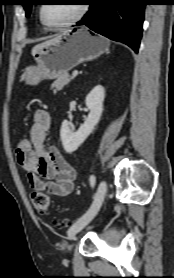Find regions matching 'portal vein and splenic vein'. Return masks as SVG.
<instances>
[{
  "mask_svg": "<svg viewBox=\"0 0 174 278\" xmlns=\"http://www.w3.org/2000/svg\"><path fill=\"white\" fill-rule=\"evenodd\" d=\"M78 75V71H73L72 76L76 77Z\"/></svg>",
  "mask_w": 174,
  "mask_h": 278,
  "instance_id": "portal-vein-and-splenic-vein-1",
  "label": "portal vein and splenic vein"
}]
</instances>
